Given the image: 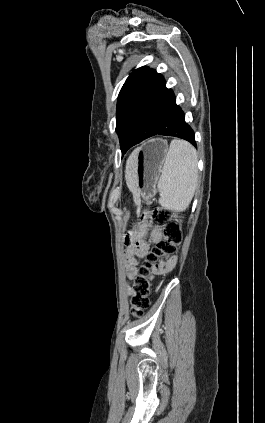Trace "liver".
Wrapping results in <instances>:
<instances>
[{"mask_svg":"<svg viewBox=\"0 0 265 423\" xmlns=\"http://www.w3.org/2000/svg\"><path fill=\"white\" fill-rule=\"evenodd\" d=\"M125 178L129 185H131L136 178L135 162L133 155H131L127 161Z\"/></svg>","mask_w":265,"mask_h":423,"instance_id":"1","label":"liver"}]
</instances>
